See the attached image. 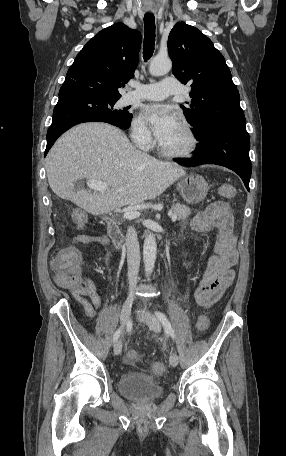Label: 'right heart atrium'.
<instances>
[{"mask_svg":"<svg viewBox=\"0 0 286 456\" xmlns=\"http://www.w3.org/2000/svg\"><path fill=\"white\" fill-rule=\"evenodd\" d=\"M131 138L141 149H149L153 143L151 132L141 117H136L131 125Z\"/></svg>","mask_w":286,"mask_h":456,"instance_id":"d8ad5b80","label":"right heart atrium"}]
</instances>
